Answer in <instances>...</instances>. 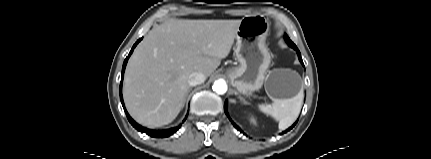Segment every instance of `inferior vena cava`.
I'll list each match as a JSON object with an SVG mask.
<instances>
[{
  "label": "inferior vena cava",
  "instance_id": "inferior-vena-cava-1",
  "mask_svg": "<svg viewBox=\"0 0 431 159\" xmlns=\"http://www.w3.org/2000/svg\"><path fill=\"white\" fill-rule=\"evenodd\" d=\"M206 77L201 72H193L190 74L188 79V84L190 86H196L202 84L205 81Z\"/></svg>",
  "mask_w": 431,
  "mask_h": 159
}]
</instances>
